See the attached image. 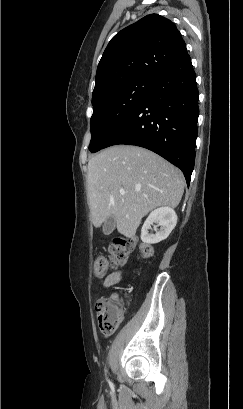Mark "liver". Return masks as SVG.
<instances>
[{
  "label": "liver",
  "instance_id": "6515ba94",
  "mask_svg": "<svg viewBox=\"0 0 243 409\" xmlns=\"http://www.w3.org/2000/svg\"><path fill=\"white\" fill-rule=\"evenodd\" d=\"M184 186L183 173L152 151L130 145L109 147L88 162L91 222L98 228L114 217L118 232L132 238L148 212L177 207Z\"/></svg>",
  "mask_w": 243,
  "mask_h": 409
}]
</instances>
